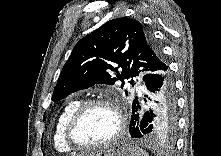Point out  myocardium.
<instances>
[{"instance_id": "myocardium-1", "label": "myocardium", "mask_w": 221, "mask_h": 156, "mask_svg": "<svg viewBox=\"0 0 221 156\" xmlns=\"http://www.w3.org/2000/svg\"><path fill=\"white\" fill-rule=\"evenodd\" d=\"M94 107H107L111 109L117 118V129L115 133L105 142L100 144H94V145H87L82 144L78 142L75 138L74 131L81 120V118L92 108ZM126 127L125 117L123 115L122 110L120 107L111 99H92L83 102L81 105H79L69 116L68 120L66 121L65 127H64V140L66 144L71 147L72 149L76 150H98L102 148H106L112 144H114L116 141L120 139V137L123 135Z\"/></svg>"}]
</instances>
